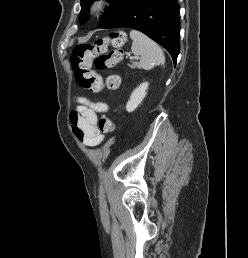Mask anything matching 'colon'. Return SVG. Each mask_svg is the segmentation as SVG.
<instances>
[{"instance_id":"colon-1","label":"colon","mask_w":248,"mask_h":258,"mask_svg":"<svg viewBox=\"0 0 248 258\" xmlns=\"http://www.w3.org/2000/svg\"><path fill=\"white\" fill-rule=\"evenodd\" d=\"M125 44V33L114 31L107 37L96 40L93 44L75 46L70 56V63L76 82L93 93L115 90L118 87V80L115 78L104 80L92 70V66L98 70H105L117 65L123 59ZM109 45L115 49L108 52ZM98 128L102 133H112L114 122L111 118L102 116L98 121Z\"/></svg>"}]
</instances>
